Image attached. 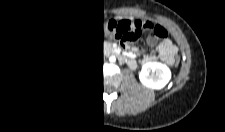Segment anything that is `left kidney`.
Instances as JSON below:
<instances>
[{
  "label": "left kidney",
  "instance_id": "left-kidney-1",
  "mask_svg": "<svg viewBox=\"0 0 225 132\" xmlns=\"http://www.w3.org/2000/svg\"><path fill=\"white\" fill-rule=\"evenodd\" d=\"M141 83L151 89H162L171 79L170 69L159 62H146L139 73Z\"/></svg>",
  "mask_w": 225,
  "mask_h": 132
}]
</instances>
